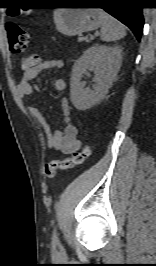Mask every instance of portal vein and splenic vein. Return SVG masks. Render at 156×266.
I'll return each mask as SVG.
<instances>
[{"instance_id": "18ae733b", "label": "portal vein and splenic vein", "mask_w": 156, "mask_h": 266, "mask_svg": "<svg viewBox=\"0 0 156 266\" xmlns=\"http://www.w3.org/2000/svg\"><path fill=\"white\" fill-rule=\"evenodd\" d=\"M84 40V38H79L78 41L79 42H82Z\"/></svg>"}]
</instances>
